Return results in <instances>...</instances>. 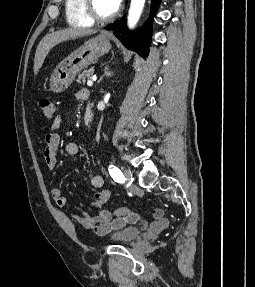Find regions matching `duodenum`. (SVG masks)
I'll list each match as a JSON object with an SVG mask.
<instances>
[{"instance_id":"duodenum-1","label":"duodenum","mask_w":255,"mask_h":287,"mask_svg":"<svg viewBox=\"0 0 255 287\" xmlns=\"http://www.w3.org/2000/svg\"><path fill=\"white\" fill-rule=\"evenodd\" d=\"M82 98L83 99H87L88 98V94L86 92H83V95H82ZM92 117H93V109H92V106L89 105L86 109V113H85V116H84V123L85 125H89L91 120H92Z\"/></svg>"}]
</instances>
